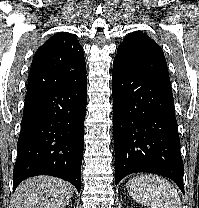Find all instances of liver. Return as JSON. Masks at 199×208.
I'll return each instance as SVG.
<instances>
[{
    "instance_id": "liver-1",
    "label": "liver",
    "mask_w": 199,
    "mask_h": 208,
    "mask_svg": "<svg viewBox=\"0 0 199 208\" xmlns=\"http://www.w3.org/2000/svg\"><path fill=\"white\" fill-rule=\"evenodd\" d=\"M73 186L56 177H31L15 193V208H65L73 197Z\"/></svg>"
}]
</instances>
